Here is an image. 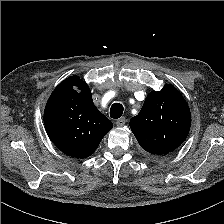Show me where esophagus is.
<instances>
[{
    "mask_svg": "<svg viewBox=\"0 0 224 224\" xmlns=\"http://www.w3.org/2000/svg\"><path fill=\"white\" fill-rule=\"evenodd\" d=\"M125 123H126V118H125V117H121V118H119V119L116 121V125H117L118 127H122V126H124Z\"/></svg>",
    "mask_w": 224,
    "mask_h": 224,
    "instance_id": "34e87169",
    "label": "esophagus"
}]
</instances>
